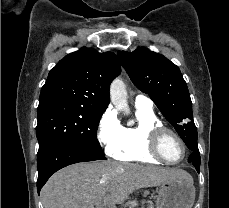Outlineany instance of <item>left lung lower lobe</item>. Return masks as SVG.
Wrapping results in <instances>:
<instances>
[{
	"instance_id": "left-lung-lower-lobe-1",
	"label": "left lung lower lobe",
	"mask_w": 229,
	"mask_h": 208,
	"mask_svg": "<svg viewBox=\"0 0 229 208\" xmlns=\"http://www.w3.org/2000/svg\"><path fill=\"white\" fill-rule=\"evenodd\" d=\"M185 142V144L187 145V147L192 151V153L190 154L189 158H188V162L192 163L197 172L199 173L200 170V155H199V150H198V146H197V138L194 139H185L183 140Z\"/></svg>"
}]
</instances>
